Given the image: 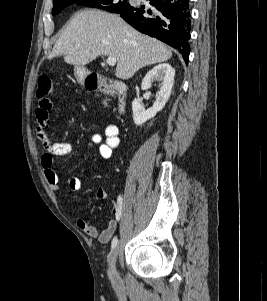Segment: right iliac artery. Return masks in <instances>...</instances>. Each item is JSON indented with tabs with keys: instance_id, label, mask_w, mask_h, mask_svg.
<instances>
[{
	"instance_id": "right-iliac-artery-1",
	"label": "right iliac artery",
	"mask_w": 267,
	"mask_h": 301,
	"mask_svg": "<svg viewBox=\"0 0 267 301\" xmlns=\"http://www.w3.org/2000/svg\"><path fill=\"white\" fill-rule=\"evenodd\" d=\"M118 207H119V213H118V216H117V221L120 220L121 218V208H122V199L121 197L118 198ZM117 243H118V239L117 237L115 236L113 239H112V242H111V247L112 249L115 248L117 246Z\"/></svg>"
}]
</instances>
